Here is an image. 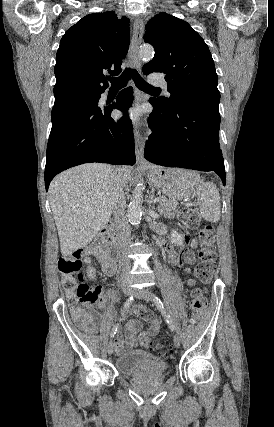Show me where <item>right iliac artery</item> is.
<instances>
[{"mask_svg": "<svg viewBox=\"0 0 274 427\" xmlns=\"http://www.w3.org/2000/svg\"><path fill=\"white\" fill-rule=\"evenodd\" d=\"M133 300H134V296H133V295H131V296L126 300V302H125V304H124V312H125V311H127V310L129 309V307H130V305L132 304ZM124 312H123V314H124ZM117 328H118V324H117V325H115V326L112 328V331H111V334H110V337H111V338H113V337H114V335L116 334V332H117Z\"/></svg>", "mask_w": 274, "mask_h": 427, "instance_id": "1", "label": "right iliac artery"}]
</instances>
